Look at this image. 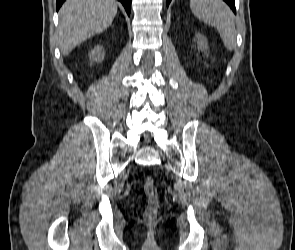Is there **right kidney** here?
<instances>
[{
    "label": "right kidney",
    "mask_w": 295,
    "mask_h": 250,
    "mask_svg": "<svg viewBox=\"0 0 295 250\" xmlns=\"http://www.w3.org/2000/svg\"><path fill=\"white\" fill-rule=\"evenodd\" d=\"M105 51L102 46H95L89 53L91 63H101L104 60Z\"/></svg>",
    "instance_id": "obj_1"
}]
</instances>
